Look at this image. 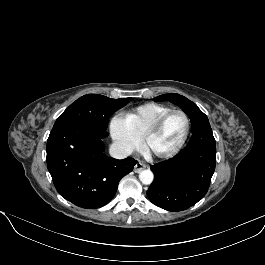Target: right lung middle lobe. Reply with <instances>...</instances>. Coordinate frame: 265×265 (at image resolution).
<instances>
[{
    "label": "right lung middle lobe",
    "mask_w": 265,
    "mask_h": 265,
    "mask_svg": "<svg viewBox=\"0 0 265 265\" xmlns=\"http://www.w3.org/2000/svg\"><path fill=\"white\" fill-rule=\"evenodd\" d=\"M131 99H111L98 94L84 95L57 118L54 127L63 123H81L106 132L110 116L129 103Z\"/></svg>",
    "instance_id": "1"
}]
</instances>
